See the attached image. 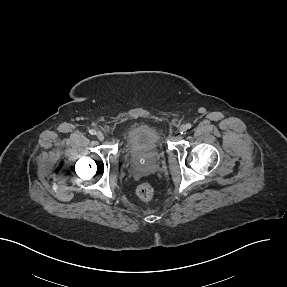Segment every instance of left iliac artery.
<instances>
[{
	"instance_id": "1",
	"label": "left iliac artery",
	"mask_w": 287,
	"mask_h": 287,
	"mask_svg": "<svg viewBox=\"0 0 287 287\" xmlns=\"http://www.w3.org/2000/svg\"><path fill=\"white\" fill-rule=\"evenodd\" d=\"M187 129H190L192 127V125L190 123L186 124Z\"/></svg>"
}]
</instances>
